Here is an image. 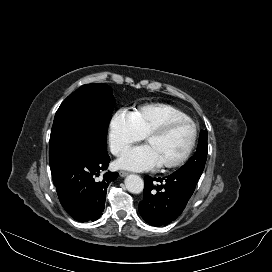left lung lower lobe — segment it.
Masks as SVG:
<instances>
[{
	"mask_svg": "<svg viewBox=\"0 0 272 272\" xmlns=\"http://www.w3.org/2000/svg\"><path fill=\"white\" fill-rule=\"evenodd\" d=\"M201 174L176 171L163 178L146 176L144 197L139 203L143 219L153 225H167L186 207Z\"/></svg>",
	"mask_w": 272,
	"mask_h": 272,
	"instance_id": "0a47b994",
	"label": "left lung lower lobe"
}]
</instances>
